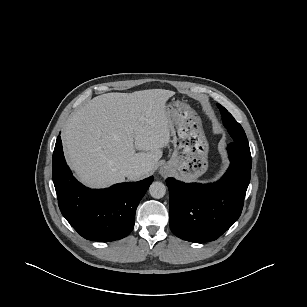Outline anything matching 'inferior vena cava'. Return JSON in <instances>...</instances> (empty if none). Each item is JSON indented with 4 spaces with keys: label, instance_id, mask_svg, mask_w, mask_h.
Returning <instances> with one entry per match:
<instances>
[{
    "label": "inferior vena cava",
    "instance_id": "1",
    "mask_svg": "<svg viewBox=\"0 0 307 307\" xmlns=\"http://www.w3.org/2000/svg\"><path fill=\"white\" fill-rule=\"evenodd\" d=\"M141 172H142L141 169H138V168H135V169L129 168V169H126V170L124 171V174H125V176L128 177V178H132V177H134V176H136V175H140Z\"/></svg>",
    "mask_w": 307,
    "mask_h": 307
}]
</instances>
